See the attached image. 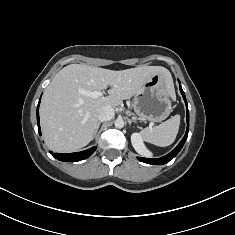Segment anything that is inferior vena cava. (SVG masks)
Returning <instances> with one entry per match:
<instances>
[{
    "label": "inferior vena cava",
    "mask_w": 235,
    "mask_h": 235,
    "mask_svg": "<svg viewBox=\"0 0 235 235\" xmlns=\"http://www.w3.org/2000/svg\"><path fill=\"white\" fill-rule=\"evenodd\" d=\"M114 117V109L111 106H103L98 112L100 122L109 121Z\"/></svg>",
    "instance_id": "602c4592"
}]
</instances>
